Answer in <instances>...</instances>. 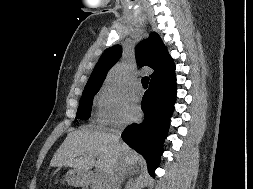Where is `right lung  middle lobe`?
<instances>
[{
  "instance_id": "obj_1",
  "label": "right lung middle lobe",
  "mask_w": 253,
  "mask_h": 189,
  "mask_svg": "<svg viewBox=\"0 0 253 189\" xmlns=\"http://www.w3.org/2000/svg\"><path fill=\"white\" fill-rule=\"evenodd\" d=\"M99 89L83 91L82 97L79 102L76 118L88 119L91 114V106L94 95Z\"/></svg>"
}]
</instances>
